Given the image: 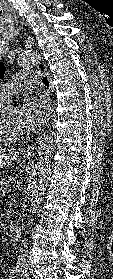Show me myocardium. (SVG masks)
<instances>
[{"label": "myocardium", "mask_w": 113, "mask_h": 279, "mask_svg": "<svg viewBox=\"0 0 113 279\" xmlns=\"http://www.w3.org/2000/svg\"><path fill=\"white\" fill-rule=\"evenodd\" d=\"M16 107L17 106L10 101L4 102L0 105V140L3 142L16 141L24 136V133H15L9 131L3 124V119L6 114Z\"/></svg>", "instance_id": "myocardium-1"}]
</instances>
